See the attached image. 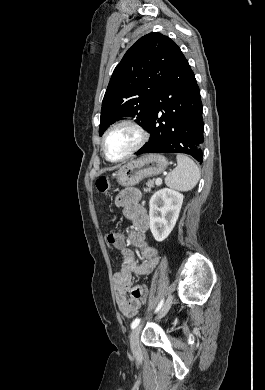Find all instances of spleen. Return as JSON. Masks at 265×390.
Returning a JSON list of instances; mask_svg holds the SVG:
<instances>
[{
	"instance_id": "spleen-1",
	"label": "spleen",
	"mask_w": 265,
	"mask_h": 390,
	"mask_svg": "<svg viewBox=\"0 0 265 390\" xmlns=\"http://www.w3.org/2000/svg\"><path fill=\"white\" fill-rule=\"evenodd\" d=\"M177 167L165 178L168 187L189 191L192 190L200 179L198 166L188 156L177 155Z\"/></svg>"
}]
</instances>
